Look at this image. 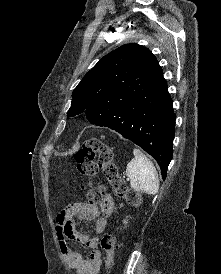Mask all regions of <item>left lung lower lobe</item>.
<instances>
[{
    "label": "left lung lower lobe",
    "instance_id": "left-lung-lower-lobe-1",
    "mask_svg": "<svg viewBox=\"0 0 221 274\" xmlns=\"http://www.w3.org/2000/svg\"><path fill=\"white\" fill-rule=\"evenodd\" d=\"M92 124L108 127L133 141L158 162L162 178L172 159L175 114L160 68L141 93L116 107L100 110Z\"/></svg>",
    "mask_w": 221,
    "mask_h": 274
}]
</instances>
